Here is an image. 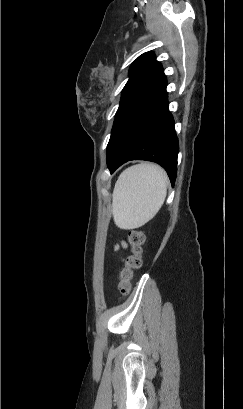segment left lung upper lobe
<instances>
[{
    "label": "left lung upper lobe",
    "mask_w": 243,
    "mask_h": 409,
    "mask_svg": "<svg viewBox=\"0 0 243 409\" xmlns=\"http://www.w3.org/2000/svg\"><path fill=\"white\" fill-rule=\"evenodd\" d=\"M162 68L160 62L156 61L154 54L146 52L139 56L131 65L129 80L122 90V96L119 108L116 112L114 125L111 131V137L107 146V164H111L118 152V146L115 137V127L122 114L141 92L149 80Z\"/></svg>",
    "instance_id": "1"
}]
</instances>
